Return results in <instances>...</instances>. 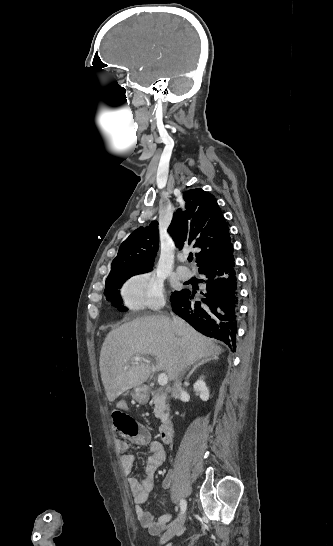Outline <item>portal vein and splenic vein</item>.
Here are the masks:
<instances>
[{"instance_id":"1","label":"portal vein and splenic vein","mask_w":333,"mask_h":546,"mask_svg":"<svg viewBox=\"0 0 333 546\" xmlns=\"http://www.w3.org/2000/svg\"><path fill=\"white\" fill-rule=\"evenodd\" d=\"M134 362H140V361H148V359H146L145 357H142V356H135L133 358ZM168 383V377L165 373H161L159 374L158 376V384L160 386H165L167 385Z\"/></svg>"}]
</instances>
